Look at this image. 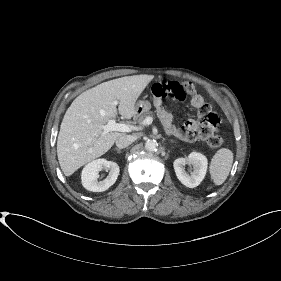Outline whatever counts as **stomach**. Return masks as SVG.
Returning <instances> with one entry per match:
<instances>
[{
  "label": "stomach",
  "instance_id": "1",
  "mask_svg": "<svg viewBox=\"0 0 281 281\" xmlns=\"http://www.w3.org/2000/svg\"><path fill=\"white\" fill-rule=\"evenodd\" d=\"M151 109V103L147 100H140L135 105L136 115H141L148 112Z\"/></svg>",
  "mask_w": 281,
  "mask_h": 281
}]
</instances>
